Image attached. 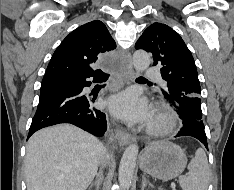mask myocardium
<instances>
[{"mask_svg": "<svg viewBox=\"0 0 234 190\" xmlns=\"http://www.w3.org/2000/svg\"><path fill=\"white\" fill-rule=\"evenodd\" d=\"M177 126L175 113L166 106H158L150 123L147 126V133L154 136L164 135L172 132Z\"/></svg>", "mask_w": 234, "mask_h": 190, "instance_id": "myocardium-1", "label": "myocardium"}]
</instances>
